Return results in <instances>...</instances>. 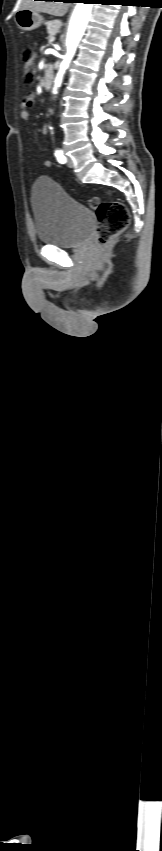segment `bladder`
<instances>
[{
    "mask_svg": "<svg viewBox=\"0 0 162 851\" xmlns=\"http://www.w3.org/2000/svg\"><path fill=\"white\" fill-rule=\"evenodd\" d=\"M31 198L36 235L42 244L76 248L90 236L96 220L93 211L74 200L54 180H36Z\"/></svg>",
    "mask_w": 162,
    "mask_h": 851,
    "instance_id": "obj_1",
    "label": "bladder"
}]
</instances>
